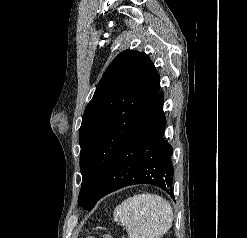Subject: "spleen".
Wrapping results in <instances>:
<instances>
[{
	"instance_id": "spleen-1",
	"label": "spleen",
	"mask_w": 247,
	"mask_h": 238,
	"mask_svg": "<svg viewBox=\"0 0 247 238\" xmlns=\"http://www.w3.org/2000/svg\"><path fill=\"white\" fill-rule=\"evenodd\" d=\"M113 217L129 238H160L172 226L173 211L163 197L142 193L124 200L114 209Z\"/></svg>"
}]
</instances>
